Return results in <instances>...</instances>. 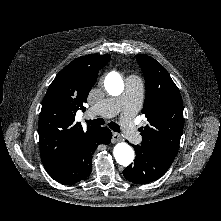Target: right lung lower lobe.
I'll return each instance as SVG.
<instances>
[{"mask_svg":"<svg viewBox=\"0 0 221 221\" xmlns=\"http://www.w3.org/2000/svg\"><path fill=\"white\" fill-rule=\"evenodd\" d=\"M111 131L106 127H96L78 142L73 150L65 172L55 180L62 184H74L86 179L92 170V155L98 145L109 144Z\"/></svg>","mask_w":221,"mask_h":221,"instance_id":"1","label":"right lung lower lobe"}]
</instances>
